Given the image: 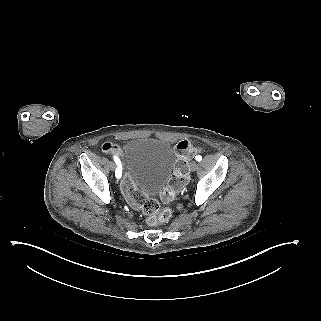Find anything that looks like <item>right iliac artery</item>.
Masks as SVG:
<instances>
[{"mask_svg":"<svg viewBox=\"0 0 321 321\" xmlns=\"http://www.w3.org/2000/svg\"><path fill=\"white\" fill-rule=\"evenodd\" d=\"M115 161L117 162V165H118V161H117L116 158H115ZM115 175H116L117 178H120L121 175H122V172H121V169H120L119 165H118V167H117V169L115 171Z\"/></svg>","mask_w":321,"mask_h":321,"instance_id":"82829eb1","label":"right iliac artery"}]
</instances>
